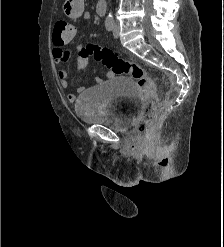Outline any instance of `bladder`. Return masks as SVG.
<instances>
[{
  "label": "bladder",
  "instance_id": "31cf9c89",
  "mask_svg": "<svg viewBox=\"0 0 224 247\" xmlns=\"http://www.w3.org/2000/svg\"><path fill=\"white\" fill-rule=\"evenodd\" d=\"M138 107L134 81L118 76L86 88L78 97L74 111L85 124L126 132L132 127Z\"/></svg>",
  "mask_w": 224,
  "mask_h": 247
}]
</instances>
